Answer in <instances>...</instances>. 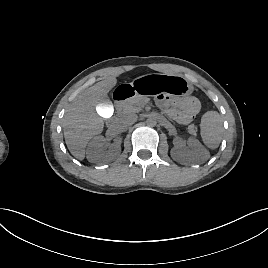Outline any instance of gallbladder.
Returning a JSON list of instances; mask_svg holds the SVG:
<instances>
[{
    "mask_svg": "<svg viewBox=\"0 0 268 268\" xmlns=\"http://www.w3.org/2000/svg\"><path fill=\"white\" fill-rule=\"evenodd\" d=\"M96 111L103 118H110L113 116L115 109L108 98H104L96 104Z\"/></svg>",
    "mask_w": 268,
    "mask_h": 268,
    "instance_id": "1",
    "label": "gallbladder"
}]
</instances>
